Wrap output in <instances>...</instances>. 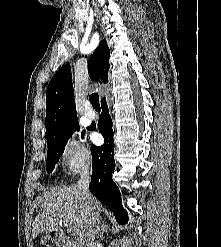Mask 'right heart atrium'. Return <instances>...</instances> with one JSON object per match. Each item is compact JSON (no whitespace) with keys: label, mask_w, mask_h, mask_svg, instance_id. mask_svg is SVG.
<instances>
[{"label":"right heart atrium","mask_w":221,"mask_h":247,"mask_svg":"<svg viewBox=\"0 0 221 247\" xmlns=\"http://www.w3.org/2000/svg\"><path fill=\"white\" fill-rule=\"evenodd\" d=\"M89 161V149L75 134H72L65 141L60 153V163L62 168L67 172L77 173L86 168Z\"/></svg>","instance_id":"obj_1"}]
</instances>
